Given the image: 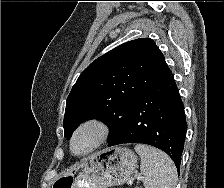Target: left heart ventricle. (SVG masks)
Listing matches in <instances>:
<instances>
[{"instance_id": "b2bd125f", "label": "left heart ventricle", "mask_w": 224, "mask_h": 188, "mask_svg": "<svg viewBox=\"0 0 224 188\" xmlns=\"http://www.w3.org/2000/svg\"><path fill=\"white\" fill-rule=\"evenodd\" d=\"M97 138V131L94 128L83 129L75 138L73 150L75 153H82L89 149Z\"/></svg>"}]
</instances>
